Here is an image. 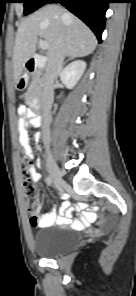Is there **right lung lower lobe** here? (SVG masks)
I'll use <instances>...</instances> for the list:
<instances>
[{
	"label": "right lung lower lobe",
	"mask_w": 136,
	"mask_h": 296,
	"mask_svg": "<svg viewBox=\"0 0 136 296\" xmlns=\"http://www.w3.org/2000/svg\"><path fill=\"white\" fill-rule=\"evenodd\" d=\"M110 0H47L46 3H61L85 22L94 32L98 41L105 25V12Z\"/></svg>",
	"instance_id": "obj_1"
}]
</instances>
